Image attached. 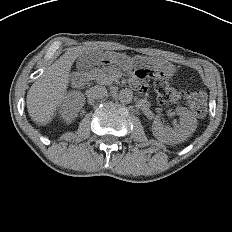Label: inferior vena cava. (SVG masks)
I'll return each mask as SVG.
<instances>
[{"label":"inferior vena cava","instance_id":"602c4592","mask_svg":"<svg viewBox=\"0 0 232 232\" xmlns=\"http://www.w3.org/2000/svg\"><path fill=\"white\" fill-rule=\"evenodd\" d=\"M92 96L95 99H107L108 98V91L105 86H95L92 88Z\"/></svg>","mask_w":232,"mask_h":232}]
</instances>
